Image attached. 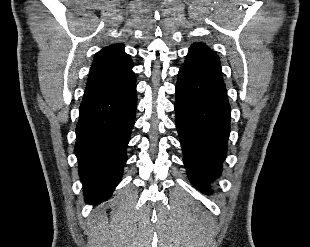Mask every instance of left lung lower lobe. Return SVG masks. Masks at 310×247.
I'll use <instances>...</instances> for the list:
<instances>
[{
    "label": "left lung lower lobe",
    "instance_id": "1",
    "mask_svg": "<svg viewBox=\"0 0 310 247\" xmlns=\"http://www.w3.org/2000/svg\"><path fill=\"white\" fill-rule=\"evenodd\" d=\"M230 105L220 77L181 68L176 84V127L191 182L210 192L219 177L230 133Z\"/></svg>",
    "mask_w": 310,
    "mask_h": 247
}]
</instances>
